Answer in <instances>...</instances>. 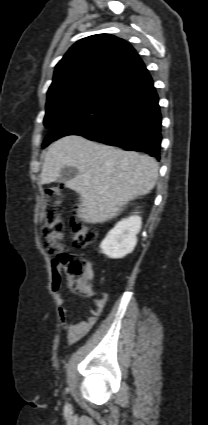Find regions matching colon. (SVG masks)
<instances>
[{
	"label": "colon",
	"mask_w": 208,
	"mask_h": 425,
	"mask_svg": "<svg viewBox=\"0 0 208 425\" xmlns=\"http://www.w3.org/2000/svg\"><path fill=\"white\" fill-rule=\"evenodd\" d=\"M63 188L50 187L46 190V208L42 216V232L44 248L53 256V271L59 276L63 273L70 288L78 293L84 292L87 280L88 264L80 256L65 251L62 238L64 226L59 214ZM97 231L94 227L74 222L72 226V241L77 248H84L95 242Z\"/></svg>",
	"instance_id": "1"
}]
</instances>
